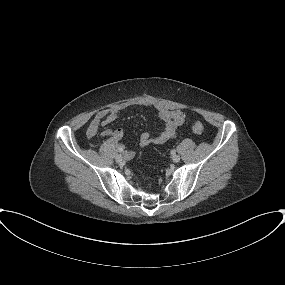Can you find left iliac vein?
I'll use <instances>...</instances> for the list:
<instances>
[{
  "mask_svg": "<svg viewBox=\"0 0 285 285\" xmlns=\"http://www.w3.org/2000/svg\"><path fill=\"white\" fill-rule=\"evenodd\" d=\"M172 160H173L174 163H178V162L180 161V156L174 154V155L172 156Z\"/></svg>",
  "mask_w": 285,
  "mask_h": 285,
  "instance_id": "1",
  "label": "left iliac vein"
}]
</instances>
